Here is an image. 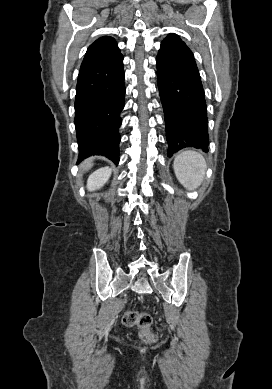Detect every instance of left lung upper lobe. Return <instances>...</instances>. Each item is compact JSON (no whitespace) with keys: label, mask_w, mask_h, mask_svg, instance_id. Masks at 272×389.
<instances>
[{"label":"left lung upper lobe","mask_w":272,"mask_h":389,"mask_svg":"<svg viewBox=\"0 0 272 389\" xmlns=\"http://www.w3.org/2000/svg\"><path fill=\"white\" fill-rule=\"evenodd\" d=\"M162 47L171 49L173 51L181 52L184 54L192 55V51L187 45L180 39V37L174 33H170L161 43Z\"/></svg>","instance_id":"obj_1"}]
</instances>
